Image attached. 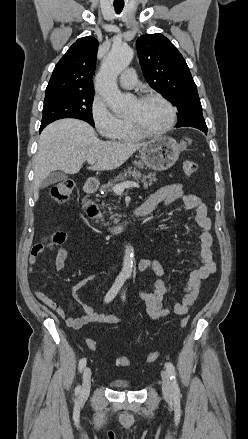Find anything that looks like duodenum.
<instances>
[{"mask_svg":"<svg viewBox=\"0 0 248 439\" xmlns=\"http://www.w3.org/2000/svg\"><path fill=\"white\" fill-rule=\"evenodd\" d=\"M97 188H98L97 182L94 179H88L85 183L84 191L86 194H92L97 190ZM85 207L89 216L94 217L97 215L98 209L96 206L87 203ZM146 214L147 212L141 209L140 207L136 208L130 218L109 226L108 233L119 234L127 229L133 218L142 217L145 216Z\"/></svg>","mask_w":248,"mask_h":439,"instance_id":"410a0bca","label":"duodenum"}]
</instances>
